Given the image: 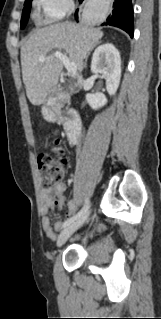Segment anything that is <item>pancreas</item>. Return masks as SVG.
Wrapping results in <instances>:
<instances>
[{
	"instance_id": "cf45deb5",
	"label": "pancreas",
	"mask_w": 161,
	"mask_h": 319,
	"mask_svg": "<svg viewBox=\"0 0 161 319\" xmlns=\"http://www.w3.org/2000/svg\"><path fill=\"white\" fill-rule=\"evenodd\" d=\"M61 103H58L56 106H55V113L56 115L60 118V109H61Z\"/></svg>"
}]
</instances>
